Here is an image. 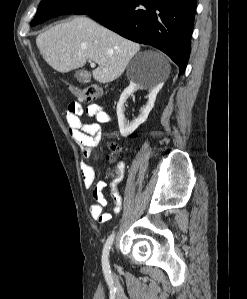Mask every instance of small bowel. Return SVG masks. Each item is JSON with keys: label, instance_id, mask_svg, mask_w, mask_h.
Segmentation results:
<instances>
[{"label": "small bowel", "instance_id": "1", "mask_svg": "<svg viewBox=\"0 0 247 299\" xmlns=\"http://www.w3.org/2000/svg\"><path fill=\"white\" fill-rule=\"evenodd\" d=\"M83 115L94 118L95 122L84 123L82 121ZM65 118L69 134L76 144L79 145L84 158V161L81 163L83 184L87 189L93 187L92 197L94 203L90 207V214L99 223H107L112 218L110 213L104 212L107 200L103 191L107 184L103 181L95 183V169L87 160L91 158L103 138L101 125L110 122L111 117L100 104L93 103L84 108L79 102H71L66 108ZM118 182L119 177L110 183L111 196L114 201L113 211L115 214L120 213L122 209V197L117 188Z\"/></svg>", "mask_w": 247, "mask_h": 299}]
</instances>
